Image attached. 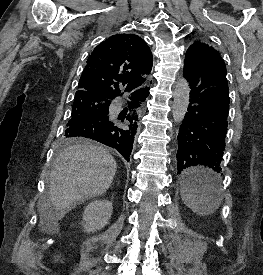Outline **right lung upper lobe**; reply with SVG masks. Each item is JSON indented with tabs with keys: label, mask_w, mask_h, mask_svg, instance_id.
<instances>
[{
	"label": "right lung upper lobe",
	"mask_w": 263,
	"mask_h": 275,
	"mask_svg": "<svg viewBox=\"0 0 263 275\" xmlns=\"http://www.w3.org/2000/svg\"><path fill=\"white\" fill-rule=\"evenodd\" d=\"M152 65V53L142 38L135 34L113 35L89 56L75 96L93 94L113 99L122 95L119 84L126 85L125 91L139 87L145 81L141 75L150 73Z\"/></svg>",
	"instance_id": "right-lung-upper-lobe-1"
}]
</instances>
